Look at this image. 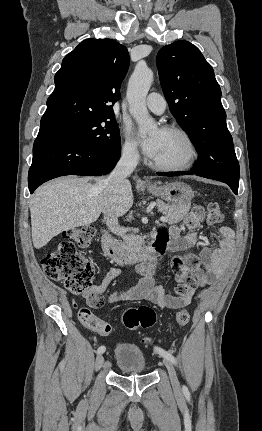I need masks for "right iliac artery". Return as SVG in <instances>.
Wrapping results in <instances>:
<instances>
[{
	"instance_id": "obj_1",
	"label": "right iliac artery",
	"mask_w": 262,
	"mask_h": 431,
	"mask_svg": "<svg viewBox=\"0 0 262 431\" xmlns=\"http://www.w3.org/2000/svg\"><path fill=\"white\" fill-rule=\"evenodd\" d=\"M105 352V347L104 346H100L97 350V354H102Z\"/></svg>"
}]
</instances>
